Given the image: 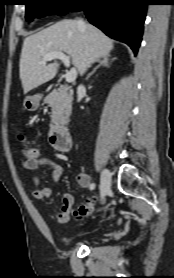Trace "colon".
<instances>
[{
	"label": "colon",
	"mask_w": 174,
	"mask_h": 278,
	"mask_svg": "<svg viewBox=\"0 0 174 278\" xmlns=\"http://www.w3.org/2000/svg\"><path fill=\"white\" fill-rule=\"evenodd\" d=\"M23 160H31L39 155V151L36 148L27 147L21 151ZM94 207V200L87 199L82 205H80L75 211L77 217H84L91 213Z\"/></svg>",
	"instance_id": "colon-1"
}]
</instances>
